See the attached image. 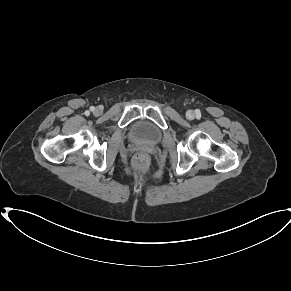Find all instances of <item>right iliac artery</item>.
<instances>
[{"label":"right iliac artery","instance_id":"right-iliac-artery-1","mask_svg":"<svg viewBox=\"0 0 291 291\" xmlns=\"http://www.w3.org/2000/svg\"><path fill=\"white\" fill-rule=\"evenodd\" d=\"M91 109L94 110V107H92ZM88 114H89V112H86V115H88Z\"/></svg>","mask_w":291,"mask_h":291}]
</instances>
